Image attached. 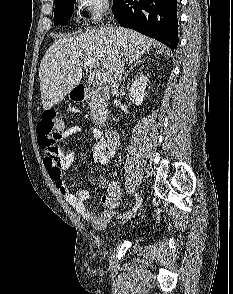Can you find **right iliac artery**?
<instances>
[{"label": "right iliac artery", "mask_w": 233, "mask_h": 294, "mask_svg": "<svg viewBox=\"0 0 233 294\" xmlns=\"http://www.w3.org/2000/svg\"><path fill=\"white\" fill-rule=\"evenodd\" d=\"M135 198H136V205H135V207L132 210L127 211L123 215H120V217H124L127 214L136 213V211L138 210V208L141 207V204H142V198H141V196L138 193H135Z\"/></svg>", "instance_id": "obj_1"}]
</instances>
